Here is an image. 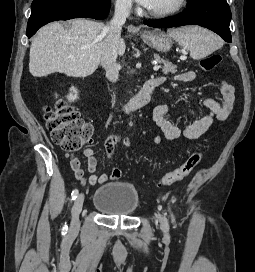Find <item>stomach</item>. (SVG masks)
<instances>
[{
    "label": "stomach",
    "instance_id": "stomach-1",
    "mask_svg": "<svg viewBox=\"0 0 255 272\" xmlns=\"http://www.w3.org/2000/svg\"><path fill=\"white\" fill-rule=\"evenodd\" d=\"M142 40L150 47L160 52L170 51L173 45V38L163 31L153 30L141 34Z\"/></svg>",
    "mask_w": 255,
    "mask_h": 272
}]
</instances>
